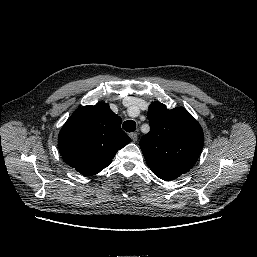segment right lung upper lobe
I'll list each match as a JSON object with an SVG mask.
<instances>
[{"mask_svg": "<svg viewBox=\"0 0 257 257\" xmlns=\"http://www.w3.org/2000/svg\"><path fill=\"white\" fill-rule=\"evenodd\" d=\"M121 122L106 103L80 107L58 136L63 160L84 176L99 173L131 141L121 129Z\"/></svg>", "mask_w": 257, "mask_h": 257, "instance_id": "obj_1", "label": "right lung upper lobe"}]
</instances>
